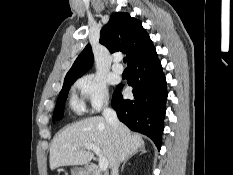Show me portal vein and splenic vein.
I'll use <instances>...</instances> for the list:
<instances>
[{"label": "portal vein and splenic vein", "instance_id": "obj_1", "mask_svg": "<svg viewBox=\"0 0 233 175\" xmlns=\"http://www.w3.org/2000/svg\"><path fill=\"white\" fill-rule=\"evenodd\" d=\"M84 148L87 150H92L99 157L100 171H106L109 163L108 160L102 156L100 148L94 144H85Z\"/></svg>", "mask_w": 233, "mask_h": 175}]
</instances>
